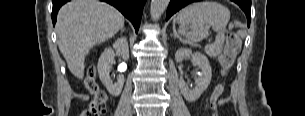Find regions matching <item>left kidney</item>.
Returning a JSON list of instances; mask_svg holds the SVG:
<instances>
[{"instance_id": "1", "label": "left kidney", "mask_w": 305, "mask_h": 116, "mask_svg": "<svg viewBox=\"0 0 305 116\" xmlns=\"http://www.w3.org/2000/svg\"><path fill=\"white\" fill-rule=\"evenodd\" d=\"M189 57H191L193 65L198 66L201 71L199 76L194 78L195 87L193 89L189 88L182 78L179 80V88L187 101L195 102L210 84L212 70L208 58L200 52L192 53L190 49L181 48L175 54L177 63H181L185 58Z\"/></svg>"}]
</instances>
